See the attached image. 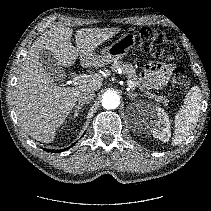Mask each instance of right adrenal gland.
<instances>
[{"instance_id":"1","label":"right adrenal gland","mask_w":211,"mask_h":211,"mask_svg":"<svg viewBox=\"0 0 211 211\" xmlns=\"http://www.w3.org/2000/svg\"><path fill=\"white\" fill-rule=\"evenodd\" d=\"M82 107H83V104H78V105H76L75 108H74V111H73L74 114H73V116H70V119L77 117V116H78V112H79V110H80Z\"/></svg>"}]
</instances>
